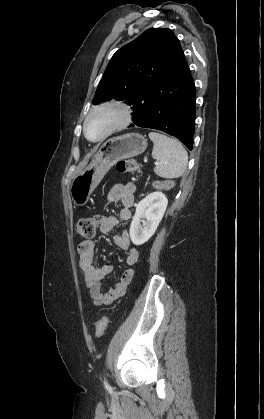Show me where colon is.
<instances>
[{
	"mask_svg": "<svg viewBox=\"0 0 264 419\" xmlns=\"http://www.w3.org/2000/svg\"><path fill=\"white\" fill-rule=\"evenodd\" d=\"M117 170L122 173L137 174L141 171L140 164L134 159H123L118 161ZM173 182L171 180H164L162 182L155 183V187L158 189L171 188ZM102 217L99 215L88 216L80 218L76 224L77 233L83 238H92L95 235L96 228L100 224ZM108 325V319L106 316H102L96 324L95 336L100 338Z\"/></svg>",
	"mask_w": 264,
	"mask_h": 419,
	"instance_id": "5ec220e1",
	"label": "colon"
}]
</instances>
